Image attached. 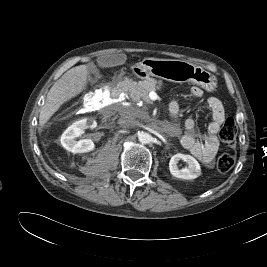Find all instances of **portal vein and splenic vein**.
Returning <instances> with one entry per match:
<instances>
[{"label":"portal vein and splenic vein","instance_id":"obj_1","mask_svg":"<svg viewBox=\"0 0 267 267\" xmlns=\"http://www.w3.org/2000/svg\"><path fill=\"white\" fill-rule=\"evenodd\" d=\"M149 99L152 101H155V100L159 99V96L155 92L151 91L149 93Z\"/></svg>","mask_w":267,"mask_h":267}]
</instances>
